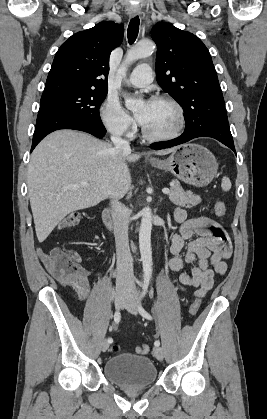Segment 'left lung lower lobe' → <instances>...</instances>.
<instances>
[{
  "instance_id": "0a47b994",
  "label": "left lung lower lobe",
  "mask_w": 267,
  "mask_h": 419,
  "mask_svg": "<svg viewBox=\"0 0 267 419\" xmlns=\"http://www.w3.org/2000/svg\"><path fill=\"white\" fill-rule=\"evenodd\" d=\"M197 137H212L235 152L227 114L218 111H209L201 115L185 126V131L181 136L169 141L151 144L150 148L154 150L170 148Z\"/></svg>"
}]
</instances>
